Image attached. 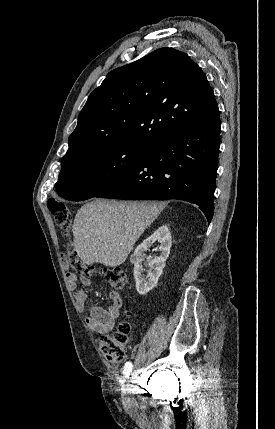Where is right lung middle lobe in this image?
Here are the masks:
<instances>
[{"label":"right lung middle lobe","mask_w":275,"mask_h":429,"mask_svg":"<svg viewBox=\"0 0 275 429\" xmlns=\"http://www.w3.org/2000/svg\"><path fill=\"white\" fill-rule=\"evenodd\" d=\"M148 145L116 144L62 164L55 187L61 197L82 201L137 168L145 159Z\"/></svg>","instance_id":"dd1d6c3e"}]
</instances>
